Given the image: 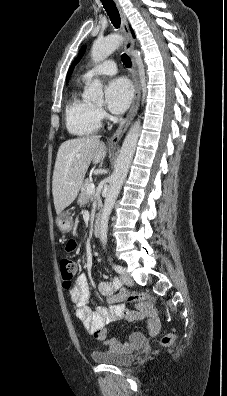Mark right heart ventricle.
<instances>
[{
  "mask_svg": "<svg viewBox=\"0 0 227 396\" xmlns=\"http://www.w3.org/2000/svg\"><path fill=\"white\" fill-rule=\"evenodd\" d=\"M65 123L67 130L74 136H88L100 127L97 109L81 97L79 89H75L65 107Z\"/></svg>",
  "mask_w": 227,
  "mask_h": 396,
  "instance_id": "1",
  "label": "right heart ventricle"
}]
</instances>
